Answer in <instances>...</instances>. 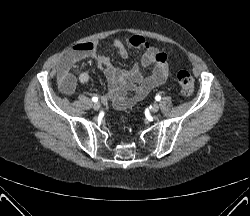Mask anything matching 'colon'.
Returning a JSON list of instances; mask_svg holds the SVG:
<instances>
[{"label":"colon","instance_id":"obj_1","mask_svg":"<svg viewBox=\"0 0 250 216\" xmlns=\"http://www.w3.org/2000/svg\"><path fill=\"white\" fill-rule=\"evenodd\" d=\"M177 80L181 88V92L185 96H191L194 92V81L189 72L180 71L177 74Z\"/></svg>","mask_w":250,"mask_h":216}]
</instances>
